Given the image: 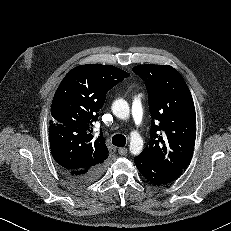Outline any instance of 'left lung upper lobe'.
I'll list each match as a JSON object with an SVG mask.
<instances>
[{"mask_svg":"<svg viewBox=\"0 0 231 231\" xmlns=\"http://www.w3.org/2000/svg\"><path fill=\"white\" fill-rule=\"evenodd\" d=\"M133 71L145 81L152 117L151 141L140 155L164 168L185 170L196 137L195 108L187 84L169 65H138Z\"/></svg>","mask_w":231,"mask_h":231,"instance_id":"1","label":"left lung upper lobe"}]
</instances>
